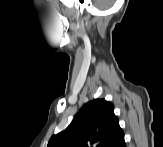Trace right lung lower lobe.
Returning a JSON list of instances; mask_svg holds the SVG:
<instances>
[{
	"label": "right lung lower lobe",
	"mask_w": 163,
	"mask_h": 147,
	"mask_svg": "<svg viewBox=\"0 0 163 147\" xmlns=\"http://www.w3.org/2000/svg\"><path fill=\"white\" fill-rule=\"evenodd\" d=\"M112 147H126L124 135Z\"/></svg>",
	"instance_id": "right-lung-lower-lobe-1"
}]
</instances>
